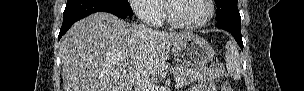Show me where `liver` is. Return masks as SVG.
I'll return each instance as SVG.
<instances>
[{
    "label": "liver",
    "instance_id": "liver-1",
    "mask_svg": "<svg viewBox=\"0 0 304 91\" xmlns=\"http://www.w3.org/2000/svg\"><path fill=\"white\" fill-rule=\"evenodd\" d=\"M193 36L129 24L106 12L91 14L60 41L64 91H132L139 76L169 67L171 46Z\"/></svg>",
    "mask_w": 304,
    "mask_h": 91
}]
</instances>
